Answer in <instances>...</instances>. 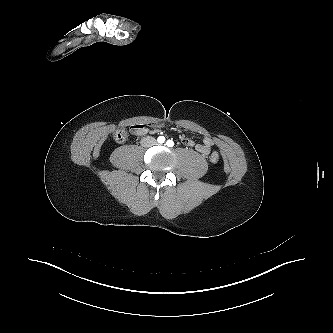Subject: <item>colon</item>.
Here are the masks:
<instances>
[{
    "mask_svg": "<svg viewBox=\"0 0 333 333\" xmlns=\"http://www.w3.org/2000/svg\"><path fill=\"white\" fill-rule=\"evenodd\" d=\"M127 131L124 130V129H119L117 130L115 133H114V139L117 141V142H123L126 140L127 138ZM210 162L211 163H217L219 161V154L217 152H213L211 155H210Z\"/></svg>",
    "mask_w": 333,
    "mask_h": 333,
    "instance_id": "1",
    "label": "colon"
}]
</instances>
